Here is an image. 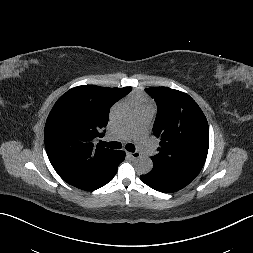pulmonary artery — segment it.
Segmentation results:
<instances>
[{
	"label": "pulmonary artery",
	"instance_id": "1",
	"mask_svg": "<svg viewBox=\"0 0 253 253\" xmlns=\"http://www.w3.org/2000/svg\"><path fill=\"white\" fill-rule=\"evenodd\" d=\"M153 116V109L150 106L139 108L136 111L134 123L121 130L117 135L116 139L125 140L133 137L140 151L145 156H151L155 152V147L148 137V129ZM111 137L107 136L106 140H110Z\"/></svg>",
	"mask_w": 253,
	"mask_h": 253
}]
</instances>
